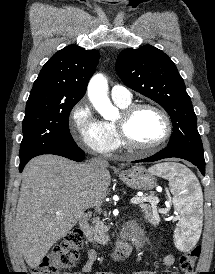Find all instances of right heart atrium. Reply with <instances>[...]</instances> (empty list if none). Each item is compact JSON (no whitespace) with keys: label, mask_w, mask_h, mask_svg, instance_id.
<instances>
[{"label":"right heart atrium","mask_w":215,"mask_h":274,"mask_svg":"<svg viewBox=\"0 0 215 274\" xmlns=\"http://www.w3.org/2000/svg\"><path fill=\"white\" fill-rule=\"evenodd\" d=\"M69 129L75 142L91 153L109 156L114 150L113 139L105 132L85 99L72 108Z\"/></svg>","instance_id":"right-heart-atrium-1"}]
</instances>
